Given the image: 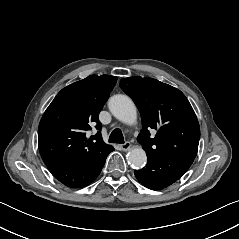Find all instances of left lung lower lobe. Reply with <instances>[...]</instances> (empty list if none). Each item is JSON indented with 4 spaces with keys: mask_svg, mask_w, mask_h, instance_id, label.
<instances>
[{
    "mask_svg": "<svg viewBox=\"0 0 239 239\" xmlns=\"http://www.w3.org/2000/svg\"><path fill=\"white\" fill-rule=\"evenodd\" d=\"M147 165L136 170L135 176L145 187L163 189L180 179L189 169L194 158L184 156H147Z\"/></svg>",
    "mask_w": 239,
    "mask_h": 239,
    "instance_id": "left-lung-lower-lobe-1",
    "label": "left lung lower lobe"
}]
</instances>
